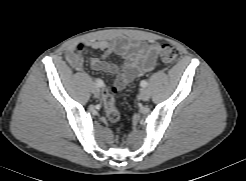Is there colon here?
<instances>
[{"mask_svg":"<svg viewBox=\"0 0 246 181\" xmlns=\"http://www.w3.org/2000/svg\"><path fill=\"white\" fill-rule=\"evenodd\" d=\"M159 55L163 62L172 64L177 59V50L170 44H162L159 48ZM117 88H105L103 91V103L107 118L115 122L119 119V111L115 104Z\"/></svg>","mask_w":246,"mask_h":181,"instance_id":"5ec220e1","label":"colon"}]
</instances>
